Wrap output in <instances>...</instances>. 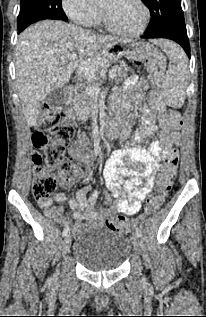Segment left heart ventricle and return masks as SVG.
<instances>
[{"label": "left heart ventricle", "instance_id": "obj_1", "mask_svg": "<svg viewBox=\"0 0 206 317\" xmlns=\"http://www.w3.org/2000/svg\"><path fill=\"white\" fill-rule=\"evenodd\" d=\"M110 22L123 31H134L143 21V11L135 0H100Z\"/></svg>", "mask_w": 206, "mask_h": 317}]
</instances>
